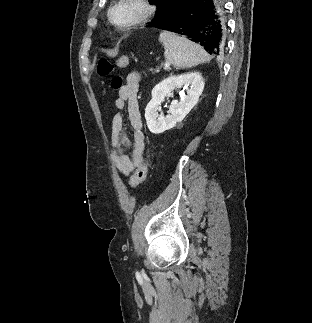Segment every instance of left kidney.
<instances>
[{
	"instance_id": "obj_1",
	"label": "left kidney",
	"mask_w": 312,
	"mask_h": 323,
	"mask_svg": "<svg viewBox=\"0 0 312 323\" xmlns=\"http://www.w3.org/2000/svg\"><path fill=\"white\" fill-rule=\"evenodd\" d=\"M177 88H187L186 96H182L180 102L173 100L169 106L168 116H163V112L158 114L161 102L165 96H171L173 90ZM204 88V78L200 72H188L182 76H169L157 84L152 90V100L146 106L145 120L148 130L152 134H162L166 130L174 128L178 122H182L190 110L196 106L199 96Z\"/></svg>"
}]
</instances>
